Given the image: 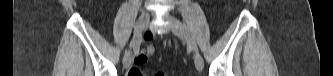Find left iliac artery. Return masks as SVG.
I'll list each match as a JSON object with an SVG mask.
<instances>
[{
	"mask_svg": "<svg viewBox=\"0 0 333 76\" xmlns=\"http://www.w3.org/2000/svg\"><path fill=\"white\" fill-rule=\"evenodd\" d=\"M187 34H188V37H187L188 45L191 46L198 53V48H197V45L195 43V40H194L192 34L189 31L187 32Z\"/></svg>",
	"mask_w": 333,
	"mask_h": 76,
	"instance_id": "44dca946",
	"label": "left iliac artery"
}]
</instances>
